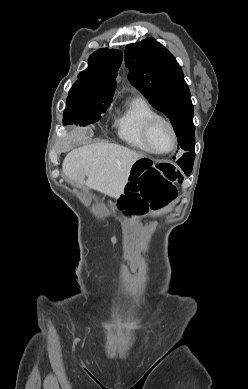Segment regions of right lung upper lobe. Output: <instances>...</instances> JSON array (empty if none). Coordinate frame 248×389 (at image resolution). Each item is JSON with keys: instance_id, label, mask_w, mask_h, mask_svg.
<instances>
[{"instance_id": "right-lung-upper-lobe-1", "label": "right lung upper lobe", "mask_w": 248, "mask_h": 389, "mask_svg": "<svg viewBox=\"0 0 248 389\" xmlns=\"http://www.w3.org/2000/svg\"><path fill=\"white\" fill-rule=\"evenodd\" d=\"M122 62V52L115 49L95 51L88 61V68L82 71L77 80L87 89L103 93H113L116 89L118 69Z\"/></svg>"}]
</instances>
